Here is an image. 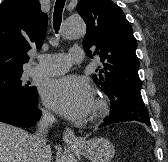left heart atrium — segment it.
<instances>
[{
	"label": "left heart atrium",
	"instance_id": "39dd6f15",
	"mask_svg": "<svg viewBox=\"0 0 168 162\" xmlns=\"http://www.w3.org/2000/svg\"><path fill=\"white\" fill-rule=\"evenodd\" d=\"M45 104L69 119H81L93 106L92 89L84 78L69 75L48 81L42 91Z\"/></svg>",
	"mask_w": 168,
	"mask_h": 162
}]
</instances>
